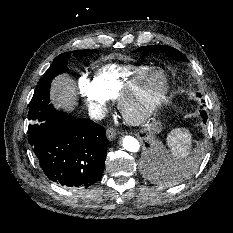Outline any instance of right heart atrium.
Here are the masks:
<instances>
[{
  "instance_id": "1",
  "label": "right heart atrium",
  "mask_w": 233,
  "mask_h": 233,
  "mask_svg": "<svg viewBox=\"0 0 233 233\" xmlns=\"http://www.w3.org/2000/svg\"><path fill=\"white\" fill-rule=\"evenodd\" d=\"M78 92L83 103L93 118L102 115L107 106V99L101 93L95 80L83 75L78 80Z\"/></svg>"
}]
</instances>
